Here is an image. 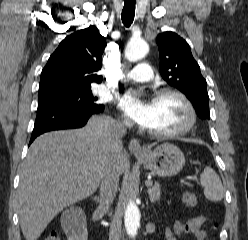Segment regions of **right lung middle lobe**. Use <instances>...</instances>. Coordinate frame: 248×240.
<instances>
[{
	"instance_id": "right-lung-middle-lobe-1",
	"label": "right lung middle lobe",
	"mask_w": 248,
	"mask_h": 240,
	"mask_svg": "<svg viewBox=\"0 0 248 240\" xmlns=\"http://www.w3.org/2000/svg\"><path fill=\"white\" fill-rule=\"evenodd\" d=\"M91 90H85L78 93L56 95L47 97H38V106L42 105H65L79 108H96L101 104L96 103Z\"/></svg>"
}]
</instances>
